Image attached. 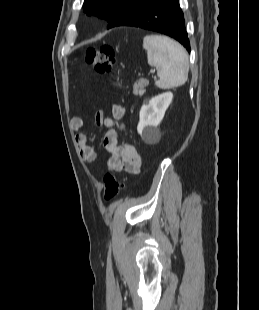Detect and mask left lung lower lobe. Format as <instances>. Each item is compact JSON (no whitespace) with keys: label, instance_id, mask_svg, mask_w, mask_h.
Returning <instances> with one entry per match:
<instances>
[{"label":"left lung lower lobe","instance_id":"0a47b994","mask_svg":"<svg viewBox=\"0 0 259 310\" xmlns=\"http://www.w3.org/2000/svg\"><path fill=\"white\" fill-rule=\"evenodd\" d=\"M115 26H135L160 32L176 39L190 52L178 0H149L129 10Z\"/></svg>","mask_w":259,"mask_h":310}]
</instances>
